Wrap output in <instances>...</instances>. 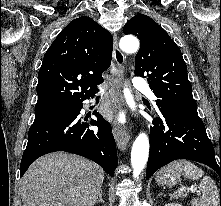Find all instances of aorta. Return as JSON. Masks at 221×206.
Masks as SVG:
<instances>
[{
    "label": "aorta",
    "instance_id": "obj_1",
    "mask_svg": "<svg viewBox=\"0 0 221 206\" xmlns=\"http://www.w3.org/2000/svg\"><path fill=\"white\" fill-rule=\"evenodd\" d=\"M120 48L126 53H135L139 49V41L132 35L123 36L119 42ZM125 100L128 106L135 110L136 105L129 88L123 90ZM149 156V139L146 133H140L133 142L131 150V165L134 178H138L144 170Z\"/></svg>",
    "mask_w": 221,
    "mask_h": 206
}]
</instances>
